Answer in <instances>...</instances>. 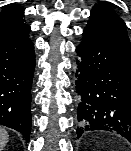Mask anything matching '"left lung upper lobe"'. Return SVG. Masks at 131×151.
<instances>
[{
    "label": "left lung upper lobe",
    "mask_w": 131,
    "mask_h": 151,
    "mask_svg": "<svg viewBox=\"0 0 131 151\" xmlns=\"http://www.w3.org/2000/svg\"><path fill=\"white\" fill-rule=\"evenodd\" d=\"M83 33L113 48L131 53L126 25L106 3L97 4L92 8Z\"/></svg>",
    "instance_id": "obj_1"
}]
</instances>
